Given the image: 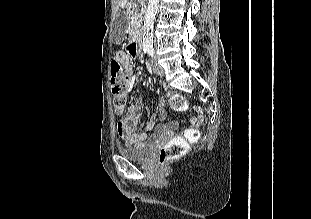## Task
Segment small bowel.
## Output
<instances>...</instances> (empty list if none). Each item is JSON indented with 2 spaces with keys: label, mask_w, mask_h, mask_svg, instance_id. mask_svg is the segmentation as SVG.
<instances>
[{
  "label": "small bowel",
  "mask_w": 311,
  "mask_h": 219,
  "mask_svg": "<svg viewBox=\"0 0 311 219\" xmlns=\"http://www.w3.org/2000/svg\"><path fill=\"white\" fill-rule=\"evenodd\" d=\"M116 60L125 68V85L131 87L133 84V70L130 66V55L126 51H119L116 54ZM142 107L143 99L138 98L127 108L125 117L117 124L118 134L127 145L133 146L143 144L148 137V132L152 130H156V135L158 137L166 136L172 130L170 124L157 125L158 116L152 113L149 115L148 120L144 125V132L137 133L136 129L139 124ZM195 111L198 112L199 109H196ZM165 115V104L161 100L159 103V116L164 118Z\"/></svg>",
  "instance_id": "obj_1"
}]
</instances>
